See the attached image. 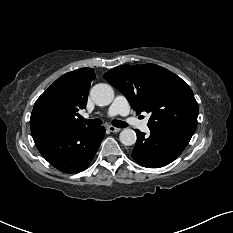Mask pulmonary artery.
<instances>
[{"instance_id":"obj_1","label":"pulmonary artery","mask_w":233,"mask_h":233,"mask_svg":"<svg viewBox=\"0 0 233 233\" xmlns=\"http://www.w3.org/2000/svg\"><path fill=\"white\" fill-rule=\"evenodd\" d=\"M116 115H120L125 118V121L131 125L139 128L143 132H148L149 127L147 125V121H140L136 117L130 115V108L127 99L119 95L115 98L112 105L109 107L107 116L113 117Z\"/></svg>"}]
</instances>
